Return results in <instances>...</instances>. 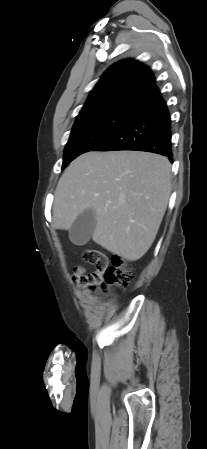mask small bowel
I'll return each instance as SVG.
<instances>
[{
    "label": "small bowel",
    "instance_id": "small-bowel-1",
    "mask_svg": "<svg viewBox=\"0 0 207 449\" xmlns=\"http://www.w3.org/2000/svg\"><path fill=\"white\" fill-rule=\"evenodd\" d=\"M85 268L82 266H77L74 269V275L72 276V280L76 284L83 283L84 281H87L84 277ZM98 282V281H95Z\"/></svg>",
    "mask_w": 207,
    "mask_h": 449
}]
</instances>
